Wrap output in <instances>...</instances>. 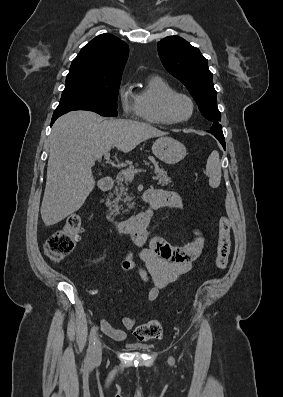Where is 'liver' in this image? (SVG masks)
Listing matches in <instances>:
<instances>
[{
  "label": "liver",
  "mask_w": 283,
  "mask_h": 397,
  "mask_svg": "<svg viewBox=\"0 0 283 397\" xmlns=\"http://www.w3.org/2000/svg\"><path fill=\"white\" fill-rule=\"evenodd\" d=\"M152 125L126 119L103 120L91 111H72L53 125L47 180L41 205L46 226L81 208L95 187L92 167L114 146L128 153L141 142L166 135Z\"/></svg>",
  "instance_id": "6515ba94"
}]
</instances>
